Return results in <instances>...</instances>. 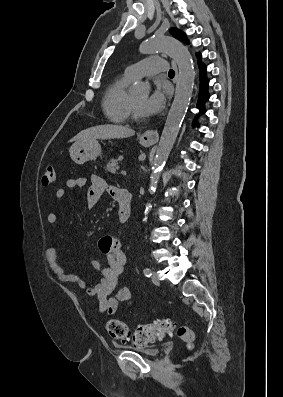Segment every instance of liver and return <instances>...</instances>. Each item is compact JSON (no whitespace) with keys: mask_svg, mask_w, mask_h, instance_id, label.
Returning <instances> with one entry per match:
<instances>
[{"mask_svg":"<svg viewBox=\"0 0 283 397\" xmlns=\"http://www.w3.org/2000/svg\"><path fill=\"white\" fill-rule=\"evenodd\" d=\"M135 131L122 125L105 124L87 128L74 136L70 142H84L91 139H114L134 136Z\"/></svg>","mask_w":283,"mask_h":397,"instance_id":"obj_1","label":"liver"}]
</instances>
